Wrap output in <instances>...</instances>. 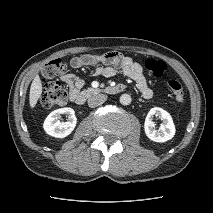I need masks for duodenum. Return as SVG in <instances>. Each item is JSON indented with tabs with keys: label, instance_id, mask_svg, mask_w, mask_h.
Segmentation results:
<instances>
[{
	"label": "duodenum",
	"instance_id": "duodenum-1",
	"mask_svg": "<svg viewBox=\"0 0 213 213\" xmlns=\"http://www.w3.org/2000/svg\"><path fill=\"white\" fill-rule=\"evenodd\" d=\"M124 90H125V86L123 84H117L104 89L89 88V89H85L78 92L75 96L74 102L77 104H83L90 97L98 96L102 94L115 95V94H119L123 92Z\"/></svg>",
	"mask_w": 213,
	"mask_h": 213
}]
</instances>
